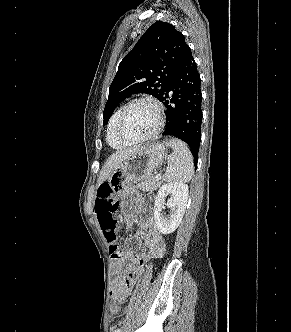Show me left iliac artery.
Segmentation results:
<instances>
[{
  "instance_id": "1",
  "label": "left iliac artery",
  "mask_w": 291,
  "mask_h": 332,
  "mask_svg": "<svg viewBox=\"0 0 291 332\" xmlns=\"http://www.w3.org/2000/svg\"><path fill=\"white\" fill-rule=\"evenodd\" d=\"M114 332H121V329L118 328V329H116Z\"/></svg>"
}]
</instances>
